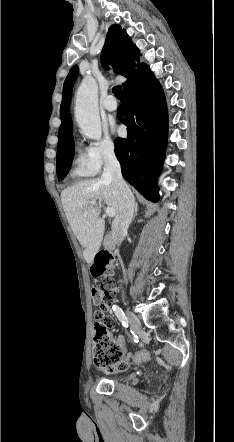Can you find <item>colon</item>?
<instances>
[{
  "label": "colon",
  "mask_w": 234,
  "mask_h": 442,
  "mask_svg": "<svg viewBox=\"0 0 234 442\" xmlns=\"http://www.w3.org/2000/svg\"><path fill=\"white\" fill-rule=\"evenodd\" d=\"M113 256L108 252L96 255L92 265L93 275L100 279V286L92 288L91 296L95 304L100 306L99 314H106V309L114 301L117 287L113 278L111 264ZM108 331H95L93 338V363L100 370L120 372L127 368L130 361L139 364L148 361L152 354L151 348L140 347L135 352H130L125 360L120 343L111 337Z\"/></svg>",
  "instance_id": "obj_1"
}]
</instances>
